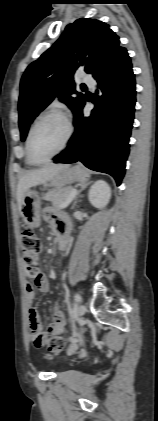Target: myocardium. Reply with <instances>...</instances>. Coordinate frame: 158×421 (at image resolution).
Wrapping results in <instances>:
<instances>
[{
  "mask_svg": "<svg viewBox=\"0 0 158 421\" xmlns=\"http://www.w3.org/2000/svg\"><path fill=\"white\" fill-rule=\"evenodd\" d=\"M49 116H59V117H61L66 123L67 133H66V137H65L62 145L60 146V148L54 154H52L50 157H48L45 160L38 161V160L34 159V157L32 155V152H31V139H32V135H33V132H34L36 126L42 120H44L45 118H47ZM73 131H74V128H73L72 121H71L69 115L66 112H64L60 109H49V110L43 112L31 125V127L29 129V132H28L27 140H26V152H27V156H28L29 160L31 161V163L33 165H43V164H46V163L50 162L54 157H56L57 155H59L62 151H64L66 149V147L68 146V144H69V142L72 138Z\"/></svg>",
  "mask_w": 158,
  "mask_h": 421,
  "instance_id": "obj_1",
  "label": "myocardium"
}]
</instances>
